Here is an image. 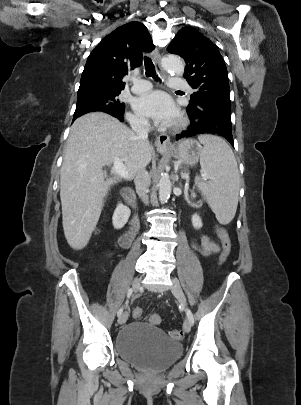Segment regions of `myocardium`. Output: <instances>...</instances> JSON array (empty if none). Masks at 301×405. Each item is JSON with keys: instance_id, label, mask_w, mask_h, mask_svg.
I'll return each instance as SVG.
<instances>
[{"instance_id": "myocardium-1", "label": "myocardium", "mask_w": 301, "mask_h": 405, "mask_svg": "<svg viewBox=\"0 0 301 405\" xmlns=\"http://www.w3.org/2000/svg\"><path fill=\"white\" fill-rule=\"evenodd\" d=\"M186 125V120L183 118H180L171 128V131H178L184 128Z\"/></svg>"}]
</instances>
